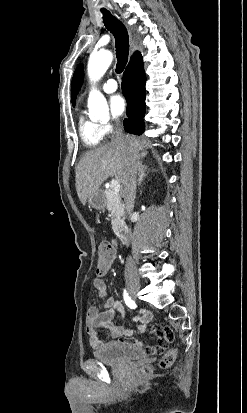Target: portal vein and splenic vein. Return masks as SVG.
<instances>
[{"label":"portal vein and splenic vein","mask_w":247,"mask_h":413,"mask_svg":"<svg viewBox=\"0 0 247 413\" xmlns=\"http://www.w3.org/2000/svg\"><path fill=\"white\" fill-rule=\"evenodd\" d=\"M110 186L112 190H114L115 194H119L120 182H118V180H115V178H113V180H111Z\"/></svg>","instance_id":"obj_1"}]
</instances>
